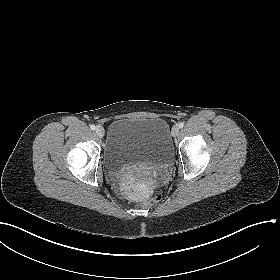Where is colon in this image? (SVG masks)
Wrapping results in <instances>:
<instances>
[{"label":"colon","instance_id":"obj_1","mask_svg":"<svg viewBox=\"0 0 280 280\" xmlns=\"http://www.w3.org/2000/svg\"><path fill=\"white\" fill-rule=\"evenodd\" d=\"M161 198V193L156 191L152 193L147 199H146V204L148 205H153L157 203Z\"/></svg>","mask_w":280,"mask_h":280}]
</instances>
